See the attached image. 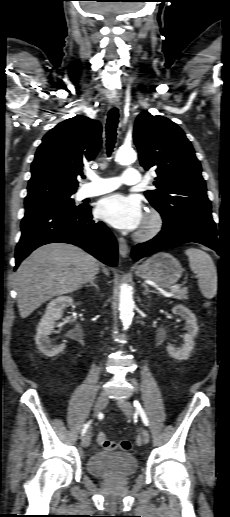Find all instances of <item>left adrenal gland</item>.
I'll use <instances>...</instances> for the list:
<instances>
[{"label":"left adrenal gland","instance_id":"a2214340","mask_svg":"<svg viewBox=\"0 0 230 517\" xmlns=\"http://www.w3.org/2000/svg\"><path fill=\"white\" fill-rule=\"evenodd\" d=\"M142 286L145 288L143 295H148L149 293H154V291L150 290L149 287L145 283H142Z\"/></svg>","mask_w":230,"mask_h":517}]
</instances>
